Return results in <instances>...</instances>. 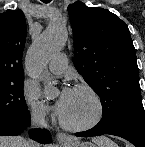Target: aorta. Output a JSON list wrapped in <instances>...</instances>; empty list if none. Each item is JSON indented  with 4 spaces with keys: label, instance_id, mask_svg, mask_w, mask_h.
Returning a JSON list of instances; mask_svg holds the SVG:
<instances>
[{
    "label": "aorta",
    "instance_id": "762f6f07",
    "mask_svg": "<svg viewBox=\"0 0 145 147\" xmlns=\"http://www.w3.org/2000/svg\"><path fill=\"white\" fill-rule=\"evenodd\" d=\"M66 35L63 27L50 26L36 39L27 53L29 74L39 77L43 67L63 47Z\"/></svg>",
    "mask_w": 145,
    "mask_h": 147
}]
</instances>
